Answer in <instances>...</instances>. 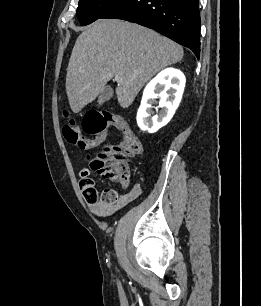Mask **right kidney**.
<instances>
[{
    "instance_id": "obj_1",
    "label": "right kidney",
    "mask_w": 261,
    "mask_h": 306,
    "mask_svg": "<svg viewBox=\"0 0 261 306\" xmlns=\"http://www.w3.org/2000/svg\"><path fill=\"white\" fill-rule=\"evenodd\" d=\"M186 78L174 68L161 71L145 87L141 105L137 112V124L141 130L155 133L173 117L181 101ZM159 98V114L151 117L152 104Z\"/></svg>"
}]
</instances>
